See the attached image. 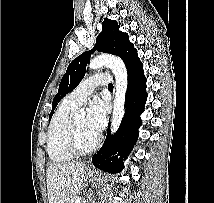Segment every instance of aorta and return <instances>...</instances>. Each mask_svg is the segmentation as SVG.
<instances>
[{
    "mask_svg": "<svg viewBox=\"0 0 214 203\" xmlns=\"http://www.w3.org/2000/svg\"><path fill=\"white\" fill-rule=\"evenodd\" d=\"M102 67L111 69L115 76L116 92L111 118V132L115 133L119 128L125 113V96L128 85V75L124 62L114 55H99L94 57L89 63L90 69H99ZM77 116L84 117L85 111L83 109L79 110Z\"/></svg>",
    "mask_w": 214,
    "mask_h": 203,
    "instance_id": "762f6f07",
    "label": "aorta"
}]
</instances>
